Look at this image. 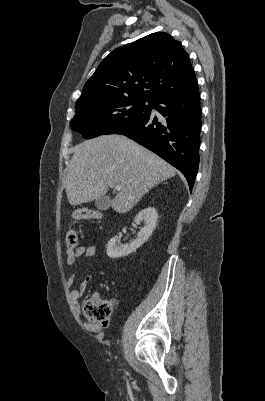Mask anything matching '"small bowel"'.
Instances as JSON below:
<instances>
[{"label":"small bowel","mask_w":265,"mask_h":401,"mask_svg":"<svg viewBox=\"0 0 265 401\" xmlns=\"http://www.w3.org/2000/svg\"><path fill=\"white\" fill-rule=\"evenodd\" d=\"M96 251H97V246L95 244H91V245H87V246H85V245L78 246L72 251L66 250L67 257H66L65 263L69 267H74L76 260L79 257H81V256H85L87 258L93 257L95 255ZM76 276H77V271H76V269H74L72 274L70 275V277L67 279L68 287L73 286V284L76 280ZM92 279H93V276H91V275L86 276L81 281L79 287L72 289L70 292V298H71L74 308L77 312L79 311V308H80L79 301H80L84 291L86 290L87 286L92 281ZM93 296L98 297L97 294H94ZM104 325L106 326L107 322ZM85 328L90 332H98L101 330V328L99 326L94 325V324H85Z\"/></svg>","instance_id":"obj_1"}]
</instances>
